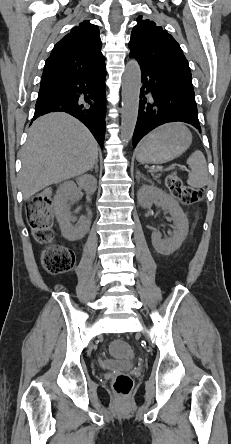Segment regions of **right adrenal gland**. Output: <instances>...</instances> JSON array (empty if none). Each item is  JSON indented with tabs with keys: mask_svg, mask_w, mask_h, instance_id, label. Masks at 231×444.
<instances>
[{
	"mask_svg": "<svg viewBox=\"0 0 231 444\" xmlns=\"http://www.w3.org/2000/svg\"><path fill=\"white\" fill-rule=\"evenodd\" d=\"M93 169H95V172L98 173V162H96L95 166L90 171H93Z\"/></svg>",
	"mask_w": 231,
	"mask_h": 444,
	"instance_id": "obj_1",
	"label": "right adrenal gland"
}]
</instances>
